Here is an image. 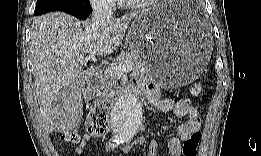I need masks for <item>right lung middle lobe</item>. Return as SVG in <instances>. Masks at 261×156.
Returning a JSON list of instances; mask_svg holds the SVG:
<instances>
[{
    "mask_svg": "<svg viewBox=\"0 0 261 156\" xmlns=\"http://www.w3.org/2000/svg\"><path fill=\"white\" fill-rule=\"evenodd\" d=\"M78 6H89V0H37L35 15L46 13L49 11L67 12Z\"/></svg>",
    "mask_w": 261,
    "mask_h": 156,
    "instance_id": "dd1d6c3e",
    "label": "right lung middle lobe"
}]
</instances>
